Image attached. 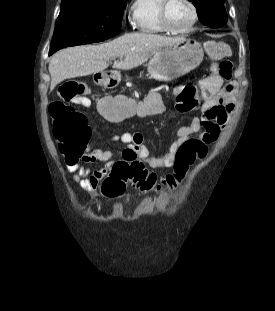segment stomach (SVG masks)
I'll return each mask as SVG.
<instances>
[{
	"label": "stomach",
	"instance_id": "stomach-1",
	"mask_svg": "<svg viewBox=\"0 0 275 311\" xmlns=\"http://www.w3.org/2000/svg\"><path fill=\"white\" fill-rule=\"evenodd\" d=\"M204 52L200 43L184 39L161 48L150 59L147 70L151 78L158 81H172L198 67ZM121 81L118 71H106L100 86L113 88Z\"/></svg>",
	"mask_w": 275,
	"mask_h": 311
}]
</instances>
